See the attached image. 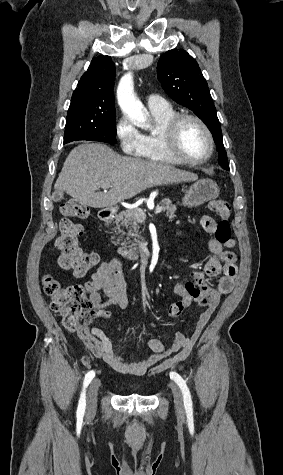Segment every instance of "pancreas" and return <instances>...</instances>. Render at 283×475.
Returning a JSON list of instances; mask_svg holds the SVG:
<instances>
[{
	"label": "pancreas",
	"mask_w": 283,
	"mask_h": 475,
	"mask_svg": "<svg viewBox=\"0 0 283 475\" xmlns=\"http://www.w3.org/2000/svg\"><path fill=\"white\" fill-rule=\"evenodd\" d=\"M160 208H163V212H166L169 222H173V218H176L175 212L177 210L176 206L172 204L169 198H164L160 204H157ZM141 208H132V210H126V212H121L115 218V230L122 232V228L128 230L126 236H128L129 241H122V247H118V253H135L137 251L136 245H138V222L139 220H145L141 214ZM176 224H180L179 220ZM133 238V239H130ZM112 243H118V241H112ZM131 243V245H129Z\"/></svg>",
	"instance_id": "obj_1"
}]
</instances>
